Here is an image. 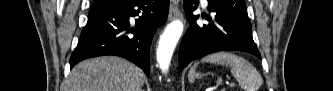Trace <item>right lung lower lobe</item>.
<instances>
[{
	"instance_id": "right-lung-lower-lobe-1",
	"label": "right lung lower lobe",
	"mask_w": 333,
	"mask_h": 91,
	"mask_svg": "<svg viewBox=\"0 0 333 91\" xmlns=\"http://www.w3.org/2000/svg\"><path fill=\"white\" fill-rule=\"evenodd\" d=\"M169 0H127L106 8H92L70 67L87 58L116 55L139 66L149 77V52L155 30L165 23ZM130 27L129 18L136 17Z\"/></svg>"
}]
</instances>
